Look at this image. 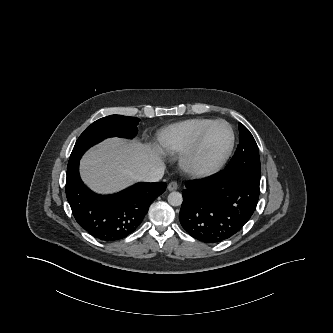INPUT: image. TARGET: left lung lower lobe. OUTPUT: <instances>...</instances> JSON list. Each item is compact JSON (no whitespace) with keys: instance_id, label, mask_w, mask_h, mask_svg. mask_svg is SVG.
Listing matches in <instances>:
<instances>
[{"instance_id":"0a47b994","label":"left lung lower lobe","mask_w":333,"mask_h":333,"mask_svg":"<svg viewBox=\"0 0 333 333\" xmlns=\"http://www.w3.org/2000/svg\"><path fill=\"white\" fill-rule=\"evenodd\" d=\"M259 184L237 171L186 183L179 220L195 239L218 243L247 223L259 199Z\"/></svg>"}]
</instances>
